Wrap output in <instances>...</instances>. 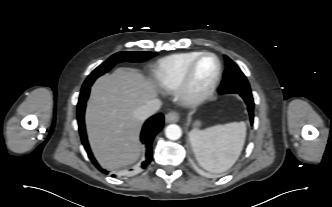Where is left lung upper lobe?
<instances>
[{"label": "left lung upper lobe", "mask_w": 332, "mask_h": 207, "mask_svg": "<svg viewBox=\"0 0 332 207\" xmlns=\"http://www.w3.org/2000/svg\"><path fill=\"white\" fill-rule=\"evenodd\" d=\"M226 69L219 93H251L250 85L240 68L226 55L224 56Z\"/></svg>", "instance_id": "obj_1"}]
</instances>
